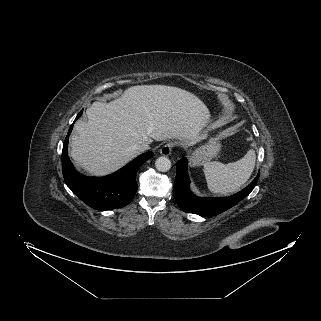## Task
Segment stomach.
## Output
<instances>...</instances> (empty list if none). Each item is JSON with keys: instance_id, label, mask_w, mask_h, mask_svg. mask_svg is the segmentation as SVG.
I'll return each mask as SVG.
<instances>
[{"instance_id": "1", "label": "stomach", "mask_w": 321, "mask_h": 321, "mask_svg": "<svg viewBox=\"0 0 321 321\" xmlns=\"http://www.w3.org/2000/svg\"><path fill=\"white\" fill-rule=\"evenodd\" d=\"M221 150V144L216 138L210 139L206 144L197 147L190 156L192 166H199L215 158Z\"/></svg>"}]
</instances>
